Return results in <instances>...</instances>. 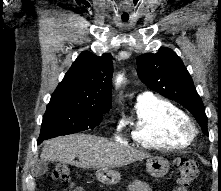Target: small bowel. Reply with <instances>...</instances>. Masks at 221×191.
<instances>
[{
	"mask_svg": "<svg viewBox=\"0 0 221 191\" xmlns=\"http://www.w3.org/2000/svg\"><path fill=\"white\" fill-rule=\"evenodd\" d=\"M128 191H152L150 185L142 180H133L129 187ZM175 191H187L186 188L177 187Z\"/></svg>",
	"mask_w": 221,
	"mask_h": 191,
	"instance_id": "small-bowel-1",
	"label": "small bowel"
}]
</instances>
